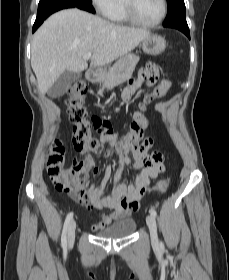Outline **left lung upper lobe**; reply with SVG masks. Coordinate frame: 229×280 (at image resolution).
Masks as SVG:
<instances>
[{"label":"left lung upper lobe","mask_w":229,"mask_h":280,"mask_svg":"<svg viewBox=\"0 0 229 280\" xmlns=\"http://www.w3.org/2000/svg\"><path fill=\"white\" fill-rule=\"evenodd\" d=\"M168 12L164 24H169L178 20H186V8L184 0H167Z\"/></svg>","instance_id":"left-lung-upper-lobe-1"}]
</instances>
